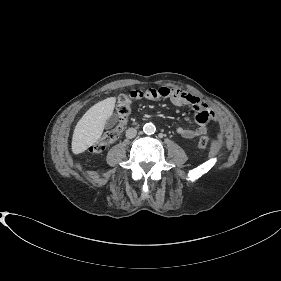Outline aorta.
I'll return each mask as SVG.
<instances>
[{"label":"aorta","mask_w":281,"mask_h":281,"mask_svg":"<svg viewBox=\"0 0 281 281\" xmlns=\"http://www.w3.org/2000/svg\"><path fill=\"white\" fill-rule=\"evenodd\" d=\"M156 130V127L153 123H146L144 126H143V131L145 134H154Z\"/></svg>","instance_id":"1"}]
</instances>
